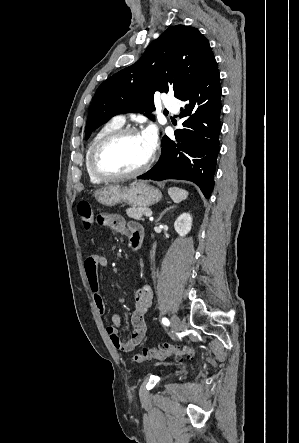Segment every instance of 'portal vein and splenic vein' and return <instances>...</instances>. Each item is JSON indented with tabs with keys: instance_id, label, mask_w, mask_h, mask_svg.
Here are the masks:
<instances>
[{
	"instance_id": "18ae733b",
	"label": "portal vein and splenic vein",
	"mask_w": 299,
	"mask_h": 443,
	"mask_svg": "<svg viewBox=\"0 0 299 443\" xmlns=\"http://www.w3.org/2000/svg\"><path fill=\"white\" fill-rule=\"evenodd\" d=\"M152 215V213L150 211L145 213V216L150 217Z\"/></svg>"
}]
</instances>
